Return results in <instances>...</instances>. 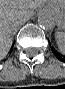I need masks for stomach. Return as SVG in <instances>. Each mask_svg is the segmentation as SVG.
<instances>
[{"label":"stomach","instance_id":"obj_1","mask_svg":"<svg viewBox=\"0 0 65 89\" xmlns=\"http://www.w3.org/2000/svg\"><path fill=\"white\" fill-rule=\"evenodd\" d=\"M48 8L56 15L60 28H65V1L60 2H52L48 4Z\"/></svg>","mask_w":65,"mask_h":89}]
</instances>
